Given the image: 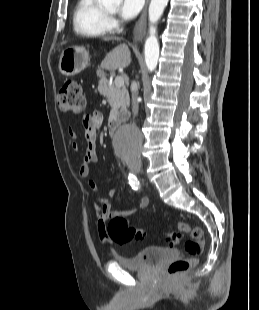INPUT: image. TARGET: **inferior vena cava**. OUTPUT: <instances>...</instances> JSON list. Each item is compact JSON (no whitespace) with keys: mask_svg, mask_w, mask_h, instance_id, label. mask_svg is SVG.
Masks as SVG:
<instances>
[{"mask_svg":"<svg viewBox=\"0 0 259 310\" xmlns=\"http://www.w3.org/2000/svg\"><path fill=\"white\" fill-rule=\"evenodd\" d=\"M131 98H132V112L133 116L135 117L138 113V88L137 84L135 82L132 83V89H131ZM134 162L137 164L141 163L140 155H137L134 159Z\"/></svg>","mask_w":259,"mask_h":310,"instance_id":"inferior-vena-cava-1","label":"inferior vena cava"}]
</instances>
